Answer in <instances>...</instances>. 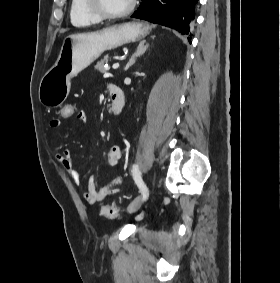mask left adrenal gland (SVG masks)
<instances>
[{"label": "left adrenal gland", "instance_id": "1", "mask_svg": "<svg viewBox=\"0 0 280 283\" xmlns=\"http://www.w3.org/2000/svg\"><path fill=\"white\" fill-rule=\"evenodd\" d=\"M145 43H146L145 40H144V41H141V42L139 43V45H138L136 51L133 53V55H132L131 58L129 59L128 63L126 64L125 70H128L129 67L132 66V65L135 63L137 57L142 56V55L145 53V51L148 49L149 44H147V43L145 44Z\"/></svg>", "mask_w": 280, "mask_h": 283}]
</instances>
